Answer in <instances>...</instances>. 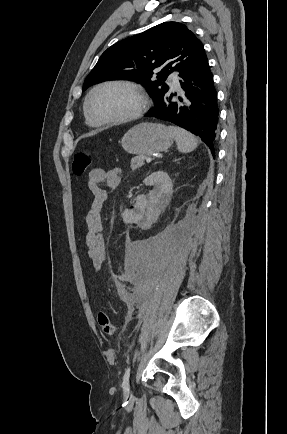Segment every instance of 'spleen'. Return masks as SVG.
<instances>
[{"label": "spleen", "instance_id": "3e777b00", "mask_svg": "<svg viewBox=\"0 0 287 434\" xmlns=\"http://www.w3.org/2000/svg\"><path fill=\"white\" fill-rule=\"evenodd\" d=\"M168 130L175 139L180 152L189 153L198 146L197 139L188 131L176 126H169Z\"/></svg>", "mask_w": 287, "mask_h": 434}]
</instances>
